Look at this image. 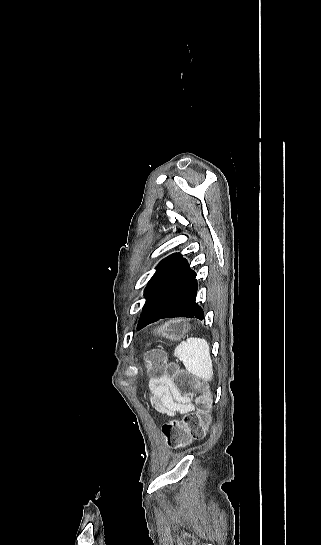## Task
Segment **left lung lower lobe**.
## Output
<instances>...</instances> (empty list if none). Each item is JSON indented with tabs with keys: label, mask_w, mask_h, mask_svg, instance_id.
<instances>
[{
	"label": "left lung lower lobe",
	"mask_w": 321,
	"mask_h": 545,
	"mask_svg": "<svg viewBox=\"0 0 321 545\" xmlns=\"http://www.w3.org/2000/svg\"><path fill=\"white\" fill-rule=\"evenodd\" d=\"M196 273L179 253L168 256L144 290V305L137 329L168 317L202 320L204 312L195 302Z\"/></svg>",
	"instance_id": "0a47b994"
}]
</instances>
